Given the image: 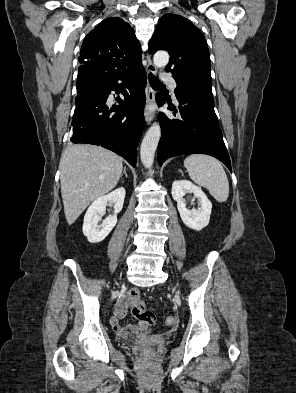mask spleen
<instances>
[{"instance_id":"obj_1","label":"spleen","mask_w":296,"mask_h":393,"mask_svg":"<svg viewBox=\"0 0 296 393\" xmlns=\"http://www.w3.org/2000/svg\"><path fill=\"white\" fill-rule=\"evenodd\" d=\"M190 178L208 189L218 202H225L229 196V182L221 163L208 155L194 154L184 160Z\"/></svg>"}]
</instances>
